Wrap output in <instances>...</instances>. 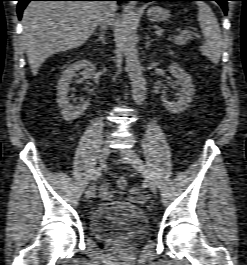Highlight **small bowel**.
Returning a JSON list of instances; mask_svg holds the SVG:
<instances>
[{
  "label": "small bowel",
  "instance_id": "1",
  "mask_svg": "<svg viewBox=\"0 0 247 265\" xmlns=\"http://www.w3.org/2000/svg\"><path fill=\"white\" fill-rule=\"evenodd\" d=\"M100 196L103 199H108L113 196V192L107 187V183L104 182L100 189ZM126 201L133 203H143L145 202V197L141 194L137 187L130 188L123 196Z\"/></svg>",
  "mask_w": 247,
  "mask_h": 265
}]
</instances>
